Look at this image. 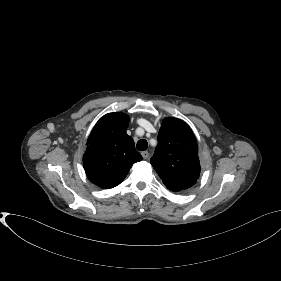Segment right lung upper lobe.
<instances>
[{
    "instance_id": "right-lung-upper-lobe-1",
    "label": "right lung upper lobe",
    "mask_w": 281,
    "mask_h": 281,
    "mask_svg": "<svg viewBox=\"0 0 281 281\" xmlns=\"http://www.w3.org/2000/svg\"><path fill=\"white\" fill-rule=\"evenodd\" d=\"M129 117L123 113L104 115L94 126L83 156L89 180L105 189L119 185L131 166L143 158L135 150L133 139L127 135Z\"/></svg>"
}]
</instances>
